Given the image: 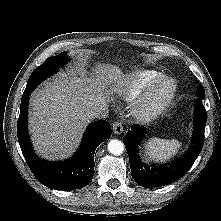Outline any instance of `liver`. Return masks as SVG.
Instances as JSON below:
<instances>
[{
	"label": "liver",
	"instance_id": "1",
	"mask_svg": "<svg viewBox=\"0 0 221 221\" xmlns=\"http://www.w3.org/2000/svg\"><path fill=\"white\" fill-rule=\"evenodd\" d=\"M96 78H87L80 70L60 73L45 81L30 98L29 128L39 155L58 160L70 156L78 147L90 122L94 106L108 102L106 86L119 83L121 70L116 66H99Z\"/></svg>",
	"mask_w": 221,
	"mask_h": 221
}]
</instances>
